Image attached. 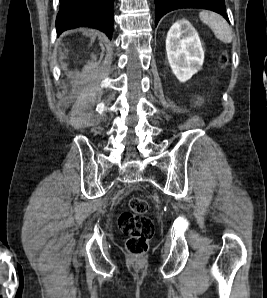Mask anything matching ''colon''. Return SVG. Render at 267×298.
I'll return each mask as SVG.
<instances>
[{"label":"colon","instance_id":"5ec220e1","mask_svg":"<svg viewBox=\"0 0 267 298\" xmlns=\"http://www.w3.org/2000/svg\"><path fill=\"white\" fill-rule=\"evenodd\" d=\"M227 57L223 55L221 63L226 64ZM148 203L140 197L131 198L128 209L120 213L118 227L127 236L126 249L134 257L143 256L154 235L153 220L147 215Z\"/></svg>","mask_w":267,"mask_h":298}]
</instances>
